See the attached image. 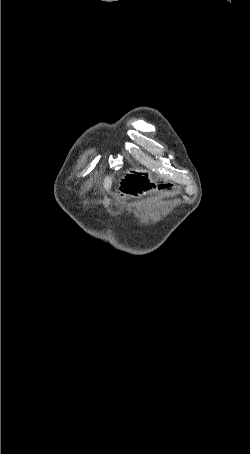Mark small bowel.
Here are the masks:
<instances>
[{"instance_id": "small-bowel-1", "label": "small bowel", "mask_w": 250, "mask_h": 454, "mask_svg": "<svg viewBox=\"0 0 250 454\" xmlns=\"http://www.w3.org/2000/svg\"><path fill=\"white\" fill-rule=\"evenodd\" d=\"M156 185L147 176L128 174L120 183L121 196H139L155 190Z\"/></svg>"}]
</instances>
